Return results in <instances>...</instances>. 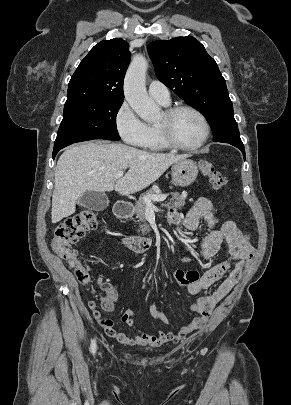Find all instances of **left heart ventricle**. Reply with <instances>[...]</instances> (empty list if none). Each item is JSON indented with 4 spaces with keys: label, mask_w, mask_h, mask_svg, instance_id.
Here are the masks:
<instances>
[{
    "label": "left heart ventricle",
    "mask_w": 291,
    "mask_h": 405,
    "mask_svg": "<svg viewBox=\"0 0 291 405\" xmlns=\"http://www.w3.org/2000/svg\"><path fill=\"white\" fill-rule=\"evenodd\" d=\"M162 114L158 123L163 122ZM172 132L174 138L183 145H195L204 135V127L200 118L193 112L183 110L173 119Z\"/></svg>",
    "instance_id": "b2bd125f"
}]
</instances>
